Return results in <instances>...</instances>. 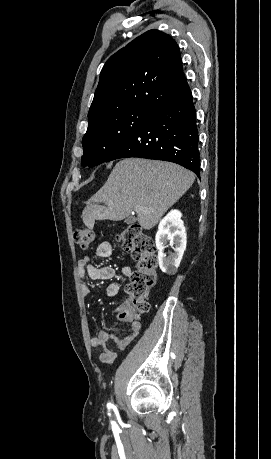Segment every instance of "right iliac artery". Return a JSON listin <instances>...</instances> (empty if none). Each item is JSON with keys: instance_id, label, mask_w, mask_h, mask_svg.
Wrapping results in <instances>:
<instances>
[{"instance_id": "right-iliac-artery-1", "label": "right iliac artery", "mask_w": 271, "mask_h": 459, "mask_svg": "<svg viewBox=\"0 0 271 459\" xmlns=\"http://www.w3.org/2000/svg\"><path fill=\"white\" fill-rule=\"evenodd\" d=\"M108 409L113 408V405L111 403L107 404ZM110 415V414H109Z\"/></svg>"}]
</instances>
